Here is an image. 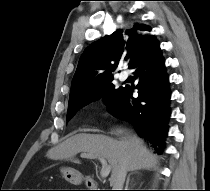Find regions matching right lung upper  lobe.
I'll return each mask as SVG.
<instances>
[{"label":"right lung upper lobe","instance_id":"right-lung-upper-lobe-1","mask_svg":"<svg viewBox=\"0 0 210 191\" xmlns=\"http://www.w3.org/2000/svg\"><path fill=\"white\" fill-rule=\"evenodd\" d=\"M150 31L149 26L136 24L89 45L79 59L69 100L90 92L113 77L121 60H128L130 68L137 56L156 38Z\"/></svg>","mask_w":210,"mask_h":191}]
</instances>
